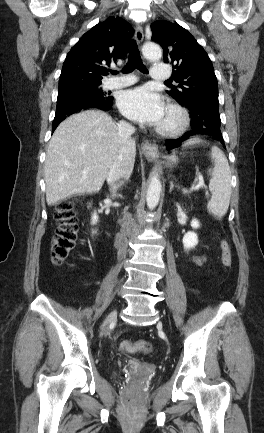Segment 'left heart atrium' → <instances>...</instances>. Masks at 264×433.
I'll use <instances>...</instances> for the list:
<instances>
[{"mask_svg": "<svg viewBox=\"0 0 264 433\" xmlns=\"http://www.w3.org/2000/svg\"><path fill=\"white\" fill-rule=\"evenodd\" d=\"M118 107L129 119L149 125L160 124L166 113L162 97L146 86L122 92Z\"/></svg>", "mask_w": 264, "mask_h": 433, "instance_id": "39dd6f15", "label": "left heart atrium"}]
</instances>
